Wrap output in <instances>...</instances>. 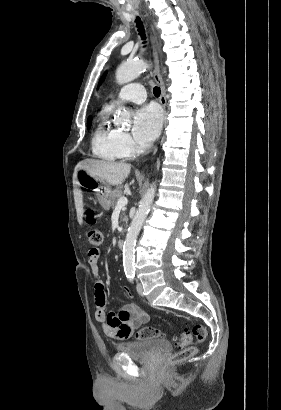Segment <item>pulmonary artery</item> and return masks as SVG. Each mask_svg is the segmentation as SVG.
Segmentation results:
<instances>
[{"label":"pulmonary artery","mask_w":281,"mask_h":410,"mask_svg":"<svg viewBox=\"0 0 281 410\" xmlns=\"http://www.w3.org/2000/svg\"><path fill=\"white\" fill-rule=\"evenodd\" d=\"M146 99V92L143 85L139 83H130L122 87L118 93L117 100H112L108 105V109H112L119 102H134L142 103Z\"/></svg>","instance_id":"e3ab8cb5"}]
</instances>
